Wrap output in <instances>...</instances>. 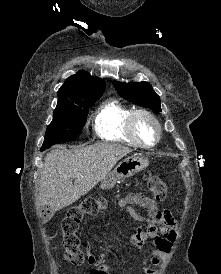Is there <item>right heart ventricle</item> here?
Wrapping results in <instances>:
<instances>
[{"label":"right heart ventricle","instance_id":"1","mask_svg":"<svg viewBox=\"0 0 221 274\" xmlns=\"http://www.w3.org/2000/svg\"><path fill=\"white\" fill-rule=\"evenodd\" d=\"M132 111L131 107L117 99L103 102L93 117L96 134L104 140L138 146L128 131V119Z\"/></svg>","mask_w":221,"mask_h":274}]
</instances>
